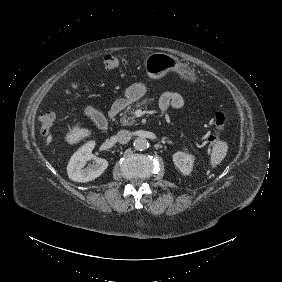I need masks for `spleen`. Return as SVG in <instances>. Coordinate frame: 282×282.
Segmentation results:
<instances>
[{
	"label": "spleen",
	"mask_w": 282,
	"mask_h": 282,
	"mask_svg": "<svg viewBox=\"0 0 282 282\" xmlns=\"http://www.w3.org/2000/svg\"><path fill=\"white\" fill-rule=\"evenodd\" d=\"M229 147V143L225 140H217L213 144L208 164L211 171L215 170L218 166L221 165V163L227 157Z\"/></svg>",
	"instance_id": "3e777b00"
}]
</instances>
